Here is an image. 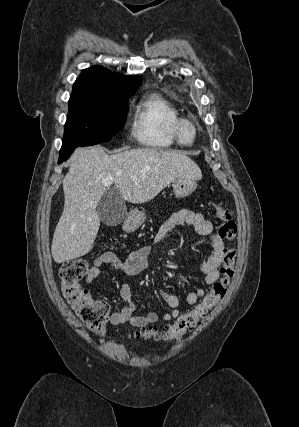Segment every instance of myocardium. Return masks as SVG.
<instances>
[{
  "mask_svg": "<svg viewBox=\"0 0 299 427\" xmlns=\"http://www.w3.org/2000/svg\"><path fill=\"white\" fill-rule=\"evenodd\" d=\"M184 125H188L192 129L193 136L191 140H185L182 136V127ZM171 133L178 144L182 146H189L196 141L198 136V128L196 123L192 119L187 117H178L171 125Z\"/></svg>",
  "mask_w": 299,
  "mask_h": 427,
  "instance_id": "1",
  "label": "myocardium"
}]
</instances>
